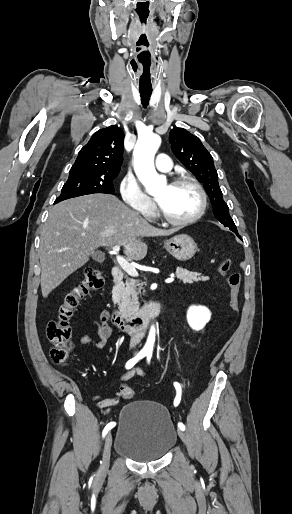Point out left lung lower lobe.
Here are the masks:
<instances>
[{
  "mask_svg": "<svg viewBox=\"0 0 292 514\" xmlns=\"http://www.w3.org/2000/svg\"><path fill=\"white\" fill-rule=\"evenodd\" d=\"M235 234L242 240V238L240 237V235L238 233H235Z\"/></svg>",
  "mask_w": 292,
  "mask_h": 514,
  "instance_id": "left-lung-lower-lobe-1",
  "label": "left lung lower lobe"
}]
</instances>
